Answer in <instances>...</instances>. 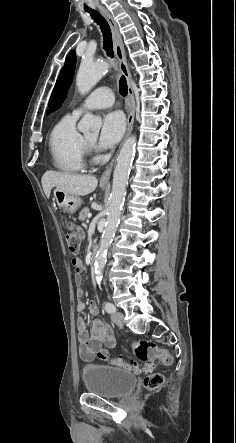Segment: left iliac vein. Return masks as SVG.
I'll return each instance as SVG.
<instances>
[{
    "label": "left iliac vein",
    "instance_id": "left-iliac-vein-1",
    "mask_svg": "<svg viewBox=\"0 0 236 443\" xmlns=\"http://www.w3.org/2000/svg\"><path fill=\"white\" fill-rule=\"evenodd\" d=\"M111 319L119 327H122L124 324V315L121 312H114L111 315Z\"/></svg>",
    "mask_w": 236,
    "mask_h": 443
}]
</instances>
